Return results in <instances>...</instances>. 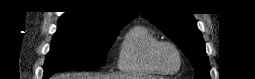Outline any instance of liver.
<instances>
[{
    "label": "liver",
    "instance_id": "6515ba94",
    "mask_svg": "<svg viewBox=\"0 0 255 79\" xmlns=\"http://www.w3.org/2000/svg\"><path fill=\"white\" fill-rule=\"evenodd\" d=\"M53 79H154L150 76H126L121 74H100V73H66L53 76Z\"/></svg>",
    "mask_w": 255,
    "mask_h": 79
}]
</instances>
